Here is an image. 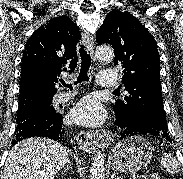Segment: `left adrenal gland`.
I'll return each mask as SVG.
<instances>
[{"label":"left adrenal gland","instance_id":"obj_1","mask_svg":"<svg viewBox=\"0 0 183 179\" xmlns=\"http://www.w3.org/2000/svg\"><path fill=\"white\" fill-rule=\"evenodd\" d=\"M110 179H121L117 174L113 173Z\"/></svg>","mask_w":183,"mask_h":179}]
</instances>
